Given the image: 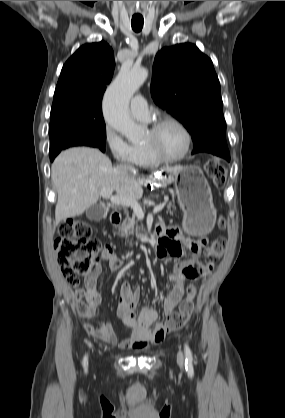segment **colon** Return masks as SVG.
<instances>
[{
	"label": "colon",
	"instance_id": "1",
	"mask_svg": "<svg viewBox=\"0 0 285 418\" xmlns=\"http://www.w3.org/2000/svg\"><path fill=\"white\" fill-rule=\"evenodd\" d=\"M205 169L214 183L221 184L225 179L223 167L215 160H209ZM218 226L223 229L225 221L220 219ZM54 245L63 274L72 286H79L91 270L90 256L100 250L99 243L92 238L91 227L82 220H65L59 227ZM225 249V238L218 237L209 244L205 254L210 261H214L224 254ZM157 255L160 258L165 257V249L157 247ZM194 296L195 287L191 285L179 310L168 315L164 325L158 328L159 334L177 331L184 326L193 311Z\"/></svg>",
	"mask_w": 285,
	"mask_h": 418
}]
</instances>
